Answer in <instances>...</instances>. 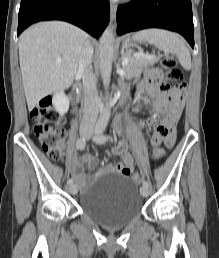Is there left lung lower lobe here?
Returning <instances> with one entry per match:
<instances>
[{"mask_svg": "<svg viewBox=\"0 0 219 258\" xmlns=\"http://www.w3.org/2000/svg\"><path fill=\"white\" fill-rule=\"evenodd\" d=\"M117 34L145 28H163L180 33L194 48L191 0H134L117 10Z\"/></svg>", "mask_w": 219, "mask_h": 258, "instance_id": "0a47b994", "label": "left lung lower lobe"}]
</instances>
